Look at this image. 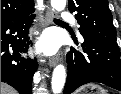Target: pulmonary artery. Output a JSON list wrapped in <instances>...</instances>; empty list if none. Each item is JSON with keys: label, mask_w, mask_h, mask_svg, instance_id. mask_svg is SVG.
<instances>
[{"label": "pulmonary artery", "mask_w": 121, "mask_h": 94, "mask_svg": "<svg viewBox=\"0 0 121 94\" xmlns=\"http://www.w3.org/2000/svg\"><path fill=\"white\" fill-rule=\"evenodd\" d=\"M62 19L64 22H67V23H75L74 17L71 14H69L68 12H65L62 15Z\"/></svg>", "instance_id": "obj_1"}]
</instances>
